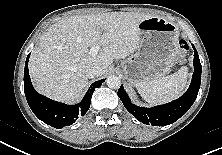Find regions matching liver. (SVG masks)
<instances>
[{"label": "liver", "mask_w": 222, "mask_h": 155, "mask_svg": "<svg viewBox=\"0 0 222 155\" xmlns=\"http://www.w3.org/2000/svg\"><path fill=\"white\" fill-rule=\"evenodd\" d=\"M152 16L131 12H108L66 17L41 36L29 60L36 90L54 100L71 102L88 83L86 68L96 64L102 75L115 59L140 47L139 24ZM101 46L93 57L89 47Z\"/></svg>", "instance_id": "1"}]
</instances>
